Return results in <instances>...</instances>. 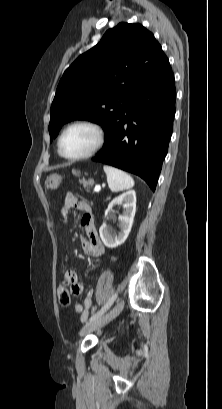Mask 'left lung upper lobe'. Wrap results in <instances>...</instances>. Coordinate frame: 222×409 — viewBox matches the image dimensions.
Wrapping results in <instances>:
<instances>
[{
  "instance_id": "1",
  "label": "left lung upper lobe",
  "mask_w": 222,
  "mask_h": 409,
  "mask_svg": "<svg viewBox=\"0 0 222 409\" xmlns=\"http://www.w3.org/2000/svg\"><path fill=\"white\" fill-rule=\"evenodd\" d=\"M170 71L160 44L141 24L109 29L64 72L51 105V140L75 119L96 122L106 132L132 98Z\"/></svg>"
}]
</instances>
